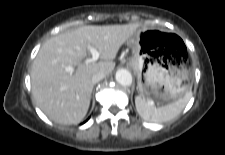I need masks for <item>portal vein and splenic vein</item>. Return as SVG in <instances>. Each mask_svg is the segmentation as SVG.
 <instances>
[{
	"instance_id": "1",
	"label": "portal vein and splenic vein",
	"mask_w": 225,
	"mask_h": 155,
	"mask_svg": "<svg viewBox=\"0 0 225 155\" xmlns=\"http://www.w3.org/2000/svg\"><path fill=\"white\" fill-rule=\"evenodd\" d=\"M90 53L92 54V58L86 59L87 63L90 62H95L98 60L99 56H100V52L98 50H96L95 48H89ZM73 68L72 67H66V71L67 72H73Z\"/></svg>"
}]
</instances>
